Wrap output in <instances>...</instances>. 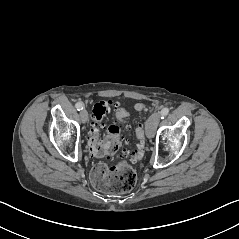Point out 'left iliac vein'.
I'll list each match as a JSON object with an SVG mask.
<instances>
[{
	"mask_svg": "<svg viewBox=\"0 0 239 239\" xmlns=\"http://www.w3.org/2000/svg\"><path fill=\"white\" fill-rule=\"evenodd\" d=\"M160 118H161V115L158 112L153 113L148 118L146 123V135L148 138H153L155 136V132L159 124Z\"/></svg>",
	"mask_w": 239,
	"mask_h": 239,
	"instance_id": "left-iliac-vein-1",
	"label": "left iliac vein"
}]
</instances>
